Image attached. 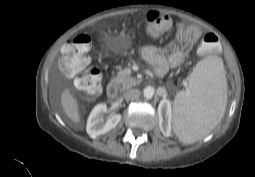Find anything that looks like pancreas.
Wrapping results in <instances>:
<instances>
[{
  "label": "pancreas",
  "instance_id": "1",
  "mask_svg": "<svg viewBox=\"0 0 255 177\" xmlns=\"http://www.w3.org/2000/svg\"><path fill=\"white\" fill-rule=\"evenodd\" d=\"M129 69H120L117 75L112 79L113 86L123 91L138 84V80L133 78Z\"/></svg>",
  "mask_w": 255,
  "mask_h": 177
}]
</instances>
